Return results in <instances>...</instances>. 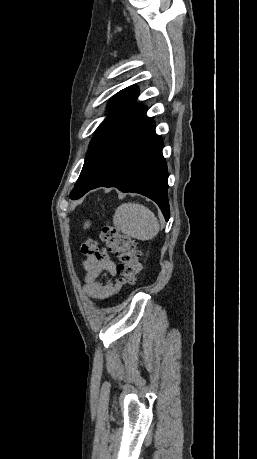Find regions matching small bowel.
<instances>
[{
  "instance_id": "obj_1",
  "label": "small bowel",
  "mask_w": 257,
  "mask_h": 459,
  "mask_svg": "<svg viewBox=\"0 0 257 459\" xmlns=\"http://www.w3.org/2000/svg\"><path fill=\"white\" fill-rule=\"evenodd\" d=\"M82 252L85 293L97 300L115 296L121 289V283L115 278L116 263L96 244L83 245Z\"/></svg>"
}]
</instances>
